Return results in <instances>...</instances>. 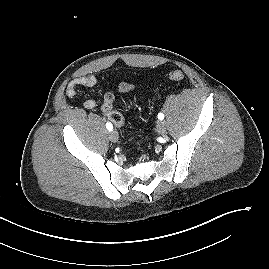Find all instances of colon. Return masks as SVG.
<instances>
[{"label":"colon","instance_id":"1","mask_svg":"<svg viewBox=\"0 0 269 269\" xmlns=\"http://www.w3.org/2000/svg\"><path fill=\"white\" fill-rule=\"evenodd\" d=\"M169 78L173 81H182L184 79V74L180 70H173L169 73ZM113 103L114 95L111 92L106 93L103 101L106 117L115 125L122 126L124 124V118L120 112L113 109Z\"/></svg>","mask_w":269,"mask_h":269}]
</instances>
